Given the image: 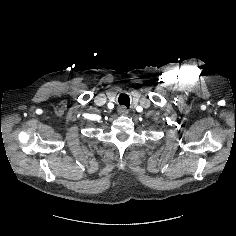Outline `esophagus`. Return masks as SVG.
Wrapping results in <instances>:
<instances>
[{"mask_svg":"<svg viewBox=\"0 0 236 236\" xmlns=\"http://www.w3.org/2000/svg\"><path fill=\"white\" fill-rule=\"evenodd\" d=\"M118 113L122 116H125L128 114V109L125 106H120L118 108Z\"/></svg>","mask_w":236,"mask_h":236,"instance_id":"obj_1","label":"esophagus"}]
</instances>
